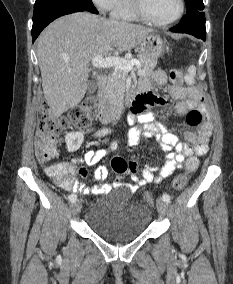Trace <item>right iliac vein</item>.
<instances>
[{"mask_svg":"<svg viewBox=\"0 0 233 284\" xmlns=\"http://www.w3.org/2000/svg\"><path fill=\"white\" fill-rule=\"evenodd\" d=\"M81 207H82V202L80 199L75 200L72 204H71V211L73 215L78 214L81 211Z\"/></svg>","mask_w":233,"mask_h":284,"instance_id":"63e3f726","label":"right iliac vein"}]
</instances>
